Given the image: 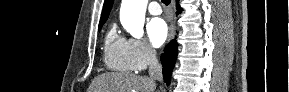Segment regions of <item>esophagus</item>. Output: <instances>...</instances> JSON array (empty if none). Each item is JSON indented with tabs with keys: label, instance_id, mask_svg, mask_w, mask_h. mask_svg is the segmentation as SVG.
Listing matches in <instances>:
<instances>
[{
	"label": "esophagus",
	"instance_id": "34e87169",
	"mask_svg": "<svg viewBox=\"0 0 289 92\" xmlns=\"http://www.w3.org/2000/svg\"><path fill=\"white\" fill-rule=\"evenodd\" d=\"M174 34H175V26L174 24H171L169 27L168 41H171L174 38Z\"/></svg>",
	"mask_w": 289,
	"mask_h": 92
}]
</instances>
